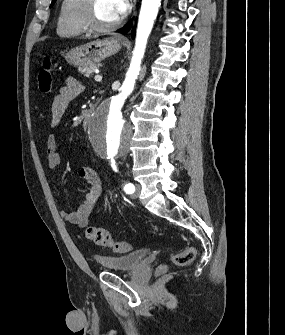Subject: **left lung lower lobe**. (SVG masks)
<instances>
[{
  "label": "left lung lower lobe",
  "instance_id": "left-lung-lower-lobe-1",
  "mask_svg": "<svg viewBox=\"0 0 285 335\" xmlns=\"http://www.w3.org/2000/svg\"><path fill=\"white\" fill-rule=\"evenodd\" d=\"M131 29V21H129L124 27L118 30L120 33H126ZM135 36V31H132V38Z\"/></svg>",
  "mask_w": 285,
  "mask_h": 335
}]
</instances>
